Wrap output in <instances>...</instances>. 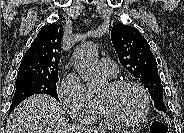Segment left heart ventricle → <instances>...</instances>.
<instances>
[{
  "mask_svg": "<svg viewBox=\"0 0 184 133\" xmlns=\"http://www.w3.org/2000/svg\"><path fill=\"white\" fill-rule=\"evenodd\" d=\"M110 112L123 119H134L141 115L144 108L143 97L134 87L112 90L106 84L98 93Z\"/></svg>",
  "mask_w": 184,
  "mask_h": 133,
  "instance_id": "obj_1",
  "label": "left heart ventricle"
}]
</instances>
